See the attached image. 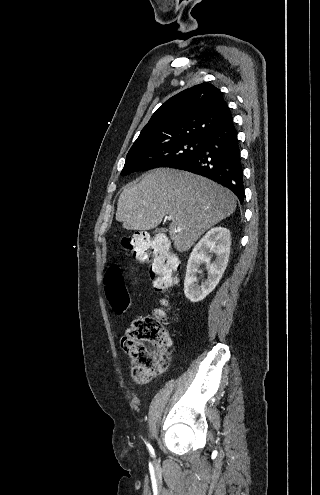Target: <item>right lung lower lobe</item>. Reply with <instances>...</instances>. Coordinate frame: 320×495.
Here are the masks:
<instances>
[{"mask_svg":"<svg viewBox=\"0 0 320 495\" xmlns=\"http://www.w3.org/2000/svg\"><path fill=\"white\" fill-rule=\"evenodd\" d=\"M172 168L214 180L233 191L241 203L244 201L243 167L232 120L204 137L194 156Z\"/></svg>","mask_w":320,"mask_h":495,"instance_id":"98d812e1","label":"right lung lower lobe"}]
</instances>
